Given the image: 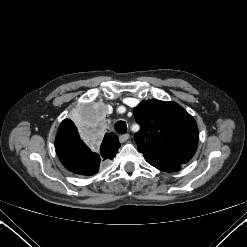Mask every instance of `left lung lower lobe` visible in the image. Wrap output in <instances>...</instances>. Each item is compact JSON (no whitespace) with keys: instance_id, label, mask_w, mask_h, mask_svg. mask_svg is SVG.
<instances>
[{"instance_id":"obj_1","label":"left lung lower lobe","mask_w":247,"mask_h":247,"mask_svg":"<svg viewBox=\"0 0 247 247\" xmlns=\"http://www.w3.org/2000/svg\"><path fill=\"white\" fill-rule=\"evenodd\" d=\"M149 164L164 172L178 171L181 168V165L178 164H168V163H149Z\"/></svg>"}]
</instances>
